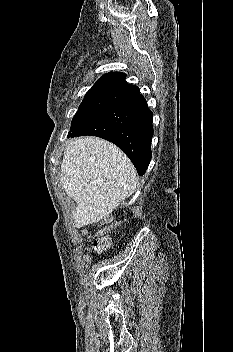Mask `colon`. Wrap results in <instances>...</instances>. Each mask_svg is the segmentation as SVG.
<instances>
[{
	"instance_id": "obj_1",
	"label": "colon",
	"mask_w": 233,
	"mask_h": 352,
	"mask_svg": "<svg viewBox=\"0 0 233 352\" xmlns=\"http://www.w3.org/2000/svg\"><path fill=\"white\" fill-rule=\"evenodd\" d=\"M112 246V239L110 236H101L95 240L92 251L96 253H101Z\"/></svg>"
}]
</instances>
